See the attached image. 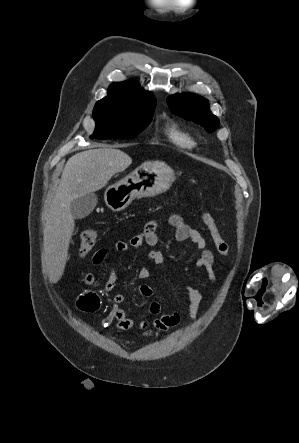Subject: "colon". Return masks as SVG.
I'll return each mask as SVG.
<instances>
[{
	"label": "colon",
	"mask_w": 299,
	"mask_h": 443,
	"mask_svg": "<svg viewBox=\"0 0 299 443\" xmlns=\"http://www.w3.org/2000/svg\"><path fill=\"white\" fill-rule=\"evenodd\" d=\"M201 219L205 224V226L207 227V229L209 230L213 244L218 250V252L222 255L227 256L229 254V246L222 239L212 215L206 211H202ZM96 239H97V232L92 228L85 229L81 233V241H80L81 256H86L92 250V248L96 243Z\"/></svg>",
	"instance_id": "1"
}]
</instances>
